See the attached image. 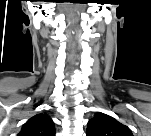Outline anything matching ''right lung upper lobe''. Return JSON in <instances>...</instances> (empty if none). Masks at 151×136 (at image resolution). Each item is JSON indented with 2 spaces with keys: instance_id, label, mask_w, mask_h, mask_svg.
<instances>
[{
  "instance_id": "1",
  "label": "right lung upper lobe",
  "mask_w": 151,
  "mask_h": 136,
  "mask_svg": "<svg viewBox=\"0 0 151 136\" xmlns=\"http://www.w3.org/2000/svg\"><path fill=\"white\" fill-rule=\"evenodd\" d=\"M55 127L50 116L40 113L31 117L22 127L19 136H54Z\"/></svg>"
}]
</instances>
